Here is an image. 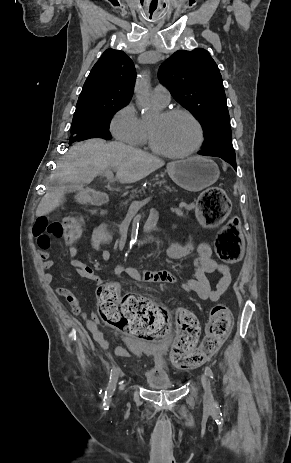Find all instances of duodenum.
<instances>
[{
    "label": "duodenum",
    "instance_id": "obj_1",
    "mask_svg": "<svg viewBox=\"0 0 291 463\" xmlns=\"http://www.w3.org/2000/svg\"><path fill=\"white\" fill-rule=\"evenodd\" d=\"M89 201L92 204L95 205H104L108 201V195L103 191V190H92L89 195ZM152 227H155V218L150 217L147 225H146V230L150 232V229Z\"/></svg>",
    "mask_w": 291,
    "mask_h": 463
}]
</instances>
